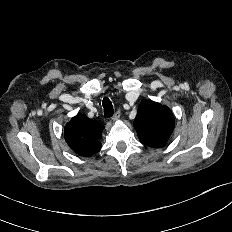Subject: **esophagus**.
<instances>
[{"mask_svg":"<svg viewBox=\"0 0 232 232\" xmlns=\"http://www.w3.org/2000/svg\"><path fill=\"white\" fill-rule=\"evenodd\" d=\"M120 116H121L120 111H117V112L113 115L112 120H113V121H117V120L120 118Z\"/></svg>","mask_w":232,"mask_h":232,"instance_id":"obj_1","label":"esophagus"}]
</instances>
